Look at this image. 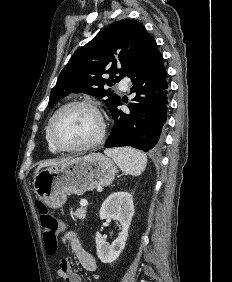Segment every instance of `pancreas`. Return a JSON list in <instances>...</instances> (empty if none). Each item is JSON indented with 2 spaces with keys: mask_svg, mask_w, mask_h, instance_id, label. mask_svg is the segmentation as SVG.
<instances>
[{
  "mask_svg": "<svg viewBox=\"0 0 232 282\" xmlns=\"http://www.w3.org/2000/svg\"><path fill=\"white\" fill-rule=\"evenodd\" d=\"M86 213H87V208L81 206L80 208H78V209L74 212L73 215H74L77 219L84 220L85 217H86Z\"/></svg>",
  "mask_w": 232,
  "mask_h": 282,
  "instance_id": "pancreas-1",
  "label": "pancreas"
}]
</instances>
